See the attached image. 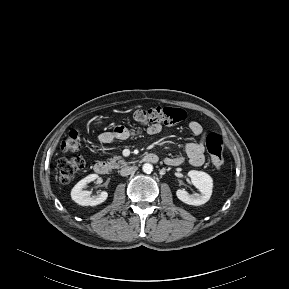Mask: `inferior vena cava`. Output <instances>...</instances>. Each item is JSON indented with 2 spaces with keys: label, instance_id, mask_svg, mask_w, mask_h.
Segmentation results:
<instances>
[{
  "label": "inferior vena cava",
  "instance_id": "1",
  "mask_svg": "<svg viewBox=\"0 0 289 289\" xmlns=\"http://www.w3.org/2000/svg\"><path fill=\"white\" fill-rule=\"evenodd\" d=\"M136 170H137V167H136V166L125 167V168H122V169L120 170V174H121L122 176H128V175L134 173Z\"/></svg>",
  "mask_w": 289,
  "mask_h": 289
}]
</instances>
